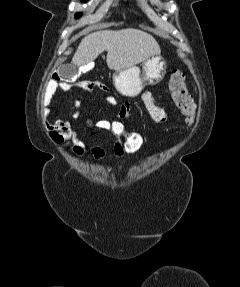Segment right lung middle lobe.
<instances>
[{
  "label": "right lung middle lobe",
  "mask_w": 240,
  "mask_h": 287,
  "mask_svg": "<svg viewBox=\"0 0 240 287\" xmlns=\"http://www.w3.org/2000/svg\"><path fill=\"white\" fill-rule=\"evenodd\" d=\"M83 1H85V0H83ZM80 15H81L80 13L77 14L78 17H79Z\"/></svg>",
  "instance_id": "obj_1"
}]
</instances>
